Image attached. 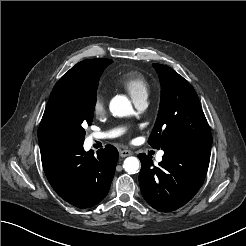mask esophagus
I'll use <instances>...</instances> for the list:
<instances>
[{
	"mask_svg": "<svg viewBox=\"0 0 246 246\" xmlns=\"http://www.w3.org/2000/svg\"><path fill=\"white\" fill-rule=\"evenodd\" d=\"M119 155H120V157H127V156L132 155V152L129 150H120Z\"/></svg>",
	"mask_w": 246,
	"mask_h": 246,
	"instance_id": "34e87169",
	"label": "esophagus"
}]
</instances>
